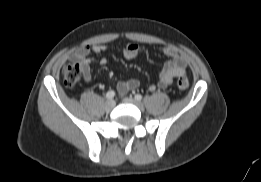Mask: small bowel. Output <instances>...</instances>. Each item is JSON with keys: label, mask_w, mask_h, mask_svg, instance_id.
Wrapping results in <instances>:
<instances>
[{"label": "small bowel", "mask_w": 261, "mask_h": 182, "mask_svg": "<svg viewBox=\"0 0 261 182\" xmlns=\"http://www.w3.org/2000/svg\"><path fill=\"white\" fill-rule=\"evenodd\" d=\"M108 47L103 44L85 45L75 51L70 60L77 63L83 74L84 81L90 83L92 81L90 66L93 62L99 61L101 64L107 63V58L102 55L107 51ZM140 51V47L136 43H129L123 50V55L127 60L135 59ZM162 53L167 56L168 61L164 64L160 74L158 86L166 87L173 82V78L183 76L186 73L187 61L184 56L179 54L174 47H164L161 49ZM93 54V56H91ZM139 87V81L136 79L121 80L117 82V90L119 94H125L130 90ZM155 85L148 87L149 91H154Z\"/></svg>", "instance_id": "c3829d8e"}]
</instances>
